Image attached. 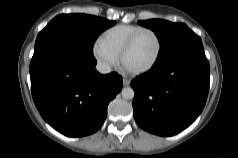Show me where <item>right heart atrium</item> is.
<instances>
[{
	"label": "right heart atrium",
	"instance_id": "obj_1",
	"mask_svg": "<svg viewBox=\"0 0 238 158\" xmlns=\"http://www.w3.org/2000/svg\"><path fill=\"white\" fill-rule=\"evenodd\" d=\"M93 55L98 64L106 71L118 64V56L111 51L101 40H97L93 46Z\"/></svg>",
	"mask_w": 238,
	"mask_h": 158
}]
</instances>
